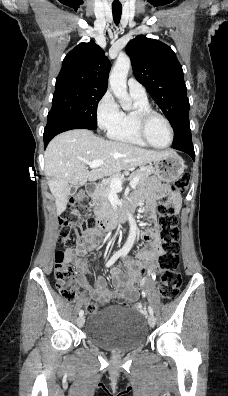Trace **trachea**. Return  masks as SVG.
<instances>
[{
  "label": "trachea",
  "mask_w": 228,
  "mask_h": 396,
  "mask_svg": "<svg viewBox=\"0 0 228 396\" xmlns=\"http://www.w3.org/2000/svg\"><path fill=\"white\" fill-rule=\"evenodd\" d=\"M112 12L115 24H119L122 14V7H112Z\"/></svg>",
  "instance_id": "trachea-1"
}]
</instances>
